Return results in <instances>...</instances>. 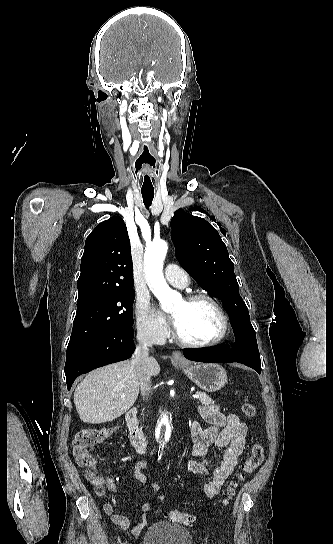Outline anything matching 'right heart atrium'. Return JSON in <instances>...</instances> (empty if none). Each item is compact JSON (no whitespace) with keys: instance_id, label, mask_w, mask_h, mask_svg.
Instances as JSON below:
<instances>
[{"instance_id":"d8ad5b80","label":"right heart atrium","mask_w":333,"mask_h":544,"mask_svg":"<svg viewBox=\"0 0 333 544\" xmlns=\"http://www.w3.org/2000/svg\"><path fill=\"white\" fill-rule=\"evenodd\" d=\"M136 326L141 338L150 342H161L168 334L164 321L151 309L148 297H138L135 304Z\"/></svg>"}]
</instances>
